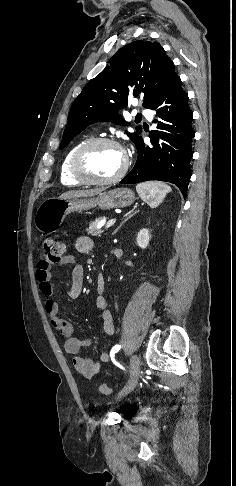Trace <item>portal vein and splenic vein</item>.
Listing matches in <instances>:
<instances>
[{"instance_id": "1", "label": "portal vein and splenic vein", "mask_w": 236, "mask_h": 486, "mask_svg": "<svg viewBox=\"0 0 236 486\" xmlns=\"http://www.w3.org/2000/svg\"><path fill=\"white\" fill-rule=\"evenodd\" d=\"M116 222V219H111L110 221L107 222L106 224V228H110L111 226H113Z\"/></svg>"}]
</instances>
